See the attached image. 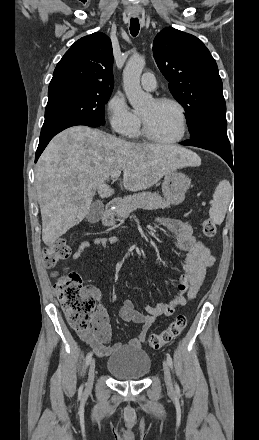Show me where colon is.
I'll return each mask as SVG.
<instances>
[{
  "label": "colon",
  "instance_id": "colon-1",
  "mask_svg": "<svg viewBox=\"0 0 259 440\" xmlns=\"http://www.w3.org/2000/svg\"><path fill=\"white\" fill-rule=\"evenodd\" d=\"M202 232L207 238L216 234V225L205 218ZM72 253V247L65 239H58L44 249V262L48 268H54ZM57 277L54 289L61 303L68 323L75 329H87L94 319L95 301L91 288L83 286L80 275L76 272L55 273ZM187 326V317L178 315L169 326L159 333L146 337V343L153 349L172 342Z\"/></svg>",
  "mask_w": 259,
  "mask_h": 440
}]
</instances>
